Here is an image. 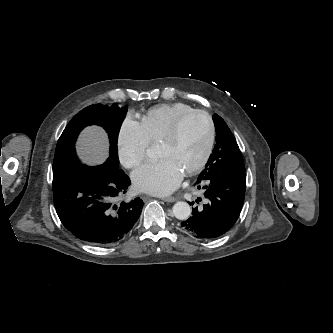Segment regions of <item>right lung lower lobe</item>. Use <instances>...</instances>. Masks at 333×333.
I'll return each mask as SVG.
<instances>
[{
	"instance_id": "obj_1",
	"label": "right lung lower lobe",
	"mask_w": 333,
	"mask_h": 333,
	"mask_svg": "<svg viewBox=\"0 0 333 333\" xmlns=\"http://www.w3.org/2000/svg\"><path fill=\"white\" fill-rule=\"evenodd\" d=\"M130 184L113 157L95 167L74 164L53 175L56 212L78 239L113 244L133 229L144 204L140 198L120 200Z\"/></svg>"
}]
</instances>
